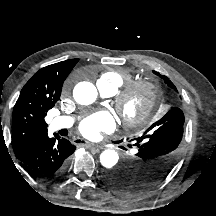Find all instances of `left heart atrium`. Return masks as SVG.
I'll return each instance as SVG.
<instances>
[{"label": "left heart atrium", "instance_id": "obj_1", "mask_svg": "<svg viewBox=\"0 0 216 216\" xmlns=\"http://www.w3.org/2000/svg\"><path fill=\"white\" fill-rule=\"evenodd\" d=\"M115 127V119L108 111H98L84 118L79 129L89 138L99 136L101 132H110Z\"/></svg>", "mask_w": 216, "mask_h": 216}]
</instances>
